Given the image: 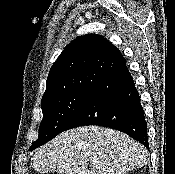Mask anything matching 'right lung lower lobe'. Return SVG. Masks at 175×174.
<instances>
[{
	"mask_svg": "<svg viewBox=\"0 0 175 174\" xmlns=\"http://www.w3.org/2000/svg\"><path fill=\"white\" fill-rule=\"evenodd\" d=\"M86 125L119 130L149 149L144 110L127 66L92 88L66 130Z\"/></svg>",
	"mask_w": 175,
	"mask_h": 174,
	"instance_id": "right-lung-lower-lobe-1",
	"label": "right lung lower lobe"
}]
</instances>
